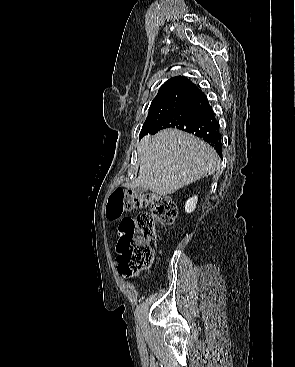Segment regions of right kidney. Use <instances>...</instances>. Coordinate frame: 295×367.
Masks as SVG:
<instances>
[{
    "instance_id": "1",
    "label": "right kidney",
    "mask_w": 295,
    "mask_h": 367,
    "mask_svg": "<svg viewBox=\"0 0 295 367\" xmlns=\"http://www.w3.org/2000/svg\"><path fill=\"white\" fill-rule=\"evenodd\" d=\"M197 200H198L197 196H194L187 200V202L185 203V211L187 213H192L195 210L196 205H197Z\"/></svg>"
}]
</instances>
